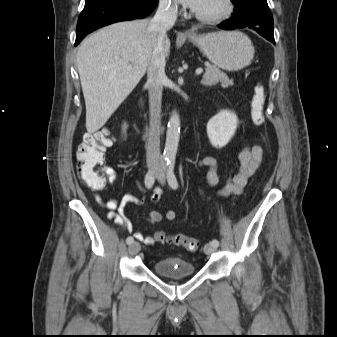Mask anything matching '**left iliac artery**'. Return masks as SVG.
I'll return each mask as SVG.
<instances>
[{
	"label": "left iliac artery",
	"mask_w": 337,
	"mask_h": 337,
	"mask_svg": "<svg viewBox=\"0 0 337 337\" xmlns=\"http://www.w3.org/2000/svg\"><path fill=\"white\" fill-rule=\"evenodd\" d=\"M167 166H168V173H167L168 183L173 189H177L178 182L174 174V166H175L174 155L169 156V158L167 159ZM210 243L216 247L219 245V241L217 239H213Z\"/></svg>",
	"instance_id": "obj_1"
}]
</instances>
